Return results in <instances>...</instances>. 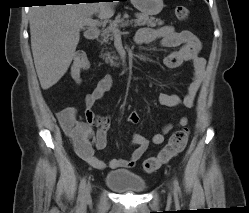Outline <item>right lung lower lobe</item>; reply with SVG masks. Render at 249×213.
Instances as JSON below:
<instances>
[{
    "label": "right lung lower lobe",
    "instance_id": "right-lung-lower-lobe-1",
    "mask_svg": "<svg viewBox=\"0 0 249 213\" xmlns=\"http://www.w3.org/2000/svg\"><path fill=\"white\" fill-rule=\"evenodd\" d=\"M46 2L55 3V4H66V3H79V0H45ZM110 1V0H109ZM113 1V0H111Z\"/></svg>",
    "mask_w": 249,
    "mask_h": 213
}]
</instances>
